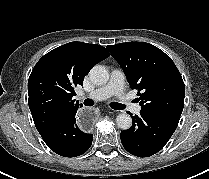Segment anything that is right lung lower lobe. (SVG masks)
<instances>
[{
    "label": "right lung lower lobe",
    "instance_id": "1",
    "mask_svg": "<svg viewBox=\"0 0 209 179\" xmlns=\"http://www.w3.org/2000/svg\"><path fill=\"white\" fill-rule=\"evenodd\" d=\"M76 112L73 110L65 114L40 134L47 146L58 155L76 157L85 153L92 144L93 135L77 126Z\"/></svg>",
    "mask_w": 209,
    "mask_h": 179
}]
</instances>
